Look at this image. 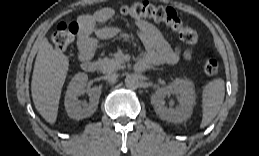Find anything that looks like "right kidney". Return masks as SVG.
Instances as JSON below:
<instances>
[{"mask_svg":"<svg viewBox=\"0 0 259 156\" xmlns=\"http://www.w3.org/2000/svg\"><path fill=\"white\" fill-rule=\"evenodd\" d=\"M88 76L85 73H77L68 85L65 95V108L71 118L82 119L91 116L97 109L101 89L99 87L91 88L89 103H81L78 97L85 93V87Z\"/></svg>","mask_w":259,"mask_h":156,"instance_id":"right-kidney-1","label":"right kidney"}]
</instances>
